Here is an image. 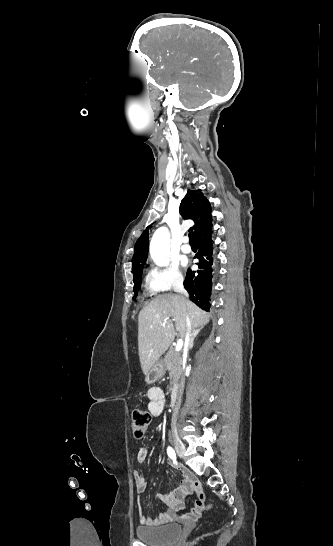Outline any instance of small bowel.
Returning <instances> with one entry per match:
<instances>
[{
    "mask_svg": "<svg viewBox=\"0 0 333 546\" xmlns=\"http://www.w3.org/2000/svg\"><path fill=\"white\" fill-rule=\"evenodd\" d=\"M149 399L148 409L153 416H160L166 408V396L162 388L151 387L147 391ZM148 456V449L142 447L138 450L137 460L143 463ZM182 481L180 487L167 494L157 495V499L166 505L167 510L161 512L157 517L145 516L142 507L138 506L139 521L141 525L155 527L167 524L172 521L174 512L184 508L185 497L194 494L195 502L191 509L183 515V519L196 520L203 512L205 493L199 480L187 469H182ZM134 483L138 495H142L147 489V479L140 472L134 473Z\"/></svg>",
    "mask_w": 333,
    "mask_h": 546,
    "instance_id": "obj_1",
    "label": "small bowel"
}]
</instances>
